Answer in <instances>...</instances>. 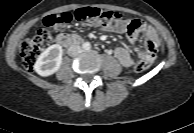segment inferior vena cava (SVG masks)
Listing matches in <instances>:
<instances>
[{"mask_svg": "<svg viewBox=\"0 0 194 133\" xmlns=\"http://www.w3.org/2000/svg\"><path fill=\"white\" fill-rule=\"evenodd\" d=\"M68 55L69 56H76L78 55L79 53H81V47L78 46V45H71L69 48H68V51H67Z\"/></svg>", "mask_w": 194, "mask_h": 133, "instance_id": "obj_1", "label": "inferior vena cava"}]
</instances>
